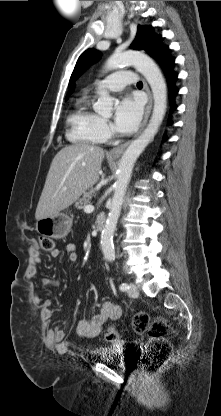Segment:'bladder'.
Instances as JSON below:
<instances>
[{"label":"bladder","instance_id":"1","mask_svg":"<svg viewBox=\"0 0 221 416\" xmlns=\"http://www.w3.org/2000/svg\"><path fill=\"white\" fill-rule=\"evenodd\" d=\"M112 354H113L112 350H111L110 348H107V349H106V352H105V354H104V356L106 357V358L104 359V361H105L106 363H112V360L110 359V357L112 356Z\"/></svg>","mask_w":221,"mask_h":416}]
</instances>
